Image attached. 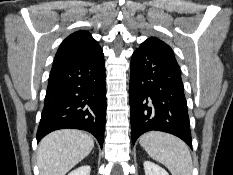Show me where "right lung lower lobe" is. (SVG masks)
I'll return each mask as SVG.
<instances>
[{
    "instance_id": "right-lung-lower-lobe-1",
    "label": "right lung lower lobe",
    "mask_w": 233,
    "mask_h": 175,
    "mask_svg": "<svg viewBox=\"0 0 233 175\" xmlns=\"http://www.w3.org/2000/svg\"><path fill=\"white\" fill-rule=\"evenodd\" d=\"M106 119L105 63L102 50L51 70L37 131L46 134L63 128L90 132L103 146Z\"/></svg>"
}]
</instances>
